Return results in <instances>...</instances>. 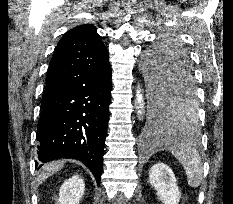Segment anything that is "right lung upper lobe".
Segmentation results:
<instances>
[{"instance_id": "right-lung-upper-lobe-1", "label": "right lung upper lobe", "mask_w": 233, "mask_h": 204, "mask_svg": "<svg viewBox=\"0 0 233 204\" xmlns=\"http://www.w3.org/2000/svg\"><path fill=\"white\" fill-rule=\"evenodd\" d=\"M108 65V50L95 26H76L58 43L49 64L44 93L67 85L85 72L100 70Z\"/></svg>"}]
</instances>
